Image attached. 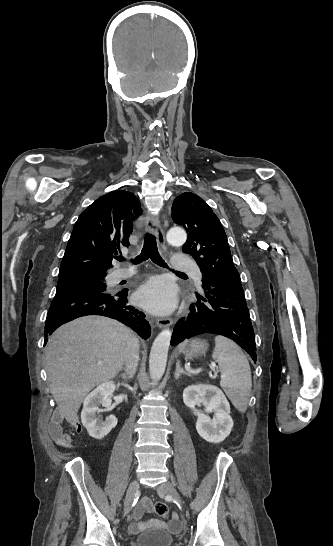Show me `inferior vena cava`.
Masks as SVG:
<instances>
[{
	"label": "inferior vena cava",
	"mask_w": 333,
	"mask_h": 546,
	"mask_svg": "<svg viewBox=\"0 0 333 546\" xmlns=\"http://www.w3.org/2000/svg\"><path fill=\"white\" fill-rule=\"evenodd\" d=\"M139 361V343L138 340L130 335L128 338V347L125 357V371L132 377L136 372Z\"/></svg>",
	"instance_id": "inferior-vena-cava-1"
}]
</instances>
